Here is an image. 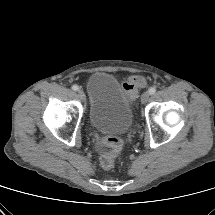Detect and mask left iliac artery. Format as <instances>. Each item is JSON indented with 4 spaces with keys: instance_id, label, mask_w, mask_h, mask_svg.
Returning a JSON list of instances; mask_svg holds the SVG:
<instances>
[{
    "instance_id": "1",
    "label": "left iliac artery",
    "mask_w": 215,
    "mask_h": 215,
    "mask_svg": "<svg viewBox=\"0 0 215 215\" xmlns=\"http://www.w3.org/2000/svg\"><path fill=\"white\" fill-rule=\"evenodd\" d=\"M155 92H156V88H155V87H151V88L149 89V94H150V95L155 94Z\"/></svg>"
}]
</instances>
